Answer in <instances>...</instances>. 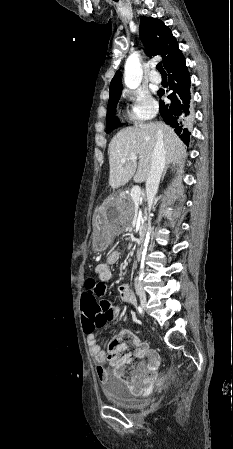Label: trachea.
<instances>
[{
	"instance_id": "obj_1",
	"label": "trachea",
	"mask_w": 233,
	"mask_h": 449,
	"mask_svg": "<svg viewBox=\"0 0 233 449\" xmlns=\"http://www.w3.org/2000/svg\"><path fill=\"white\" fill-rule=\"evenodd\" d=\"M156 68L161 74H166L161 63L157 64Z\"/></svg>"
}]
</instances>
